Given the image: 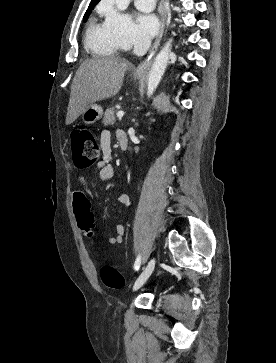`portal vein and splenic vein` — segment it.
Masks as SVG:
<instances>
[{
	"label": "portal vein and splenic vein",
	"mask_w": 276,
	"mask_h": 363,
	"mask_svg": "<svg viewBox=\"0 0 276 363\" xmlns=\"http://www.w3.org/2000/svg\"><path fill=\"white\" fill-rule=\"evenodd\" d=\"M124 116V112L123 111H118L117 112V117L118 118H122Z\"/></svg>",
	"instance_id": "18ae733b"
}]
</instances>
